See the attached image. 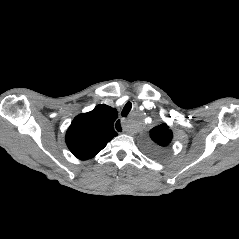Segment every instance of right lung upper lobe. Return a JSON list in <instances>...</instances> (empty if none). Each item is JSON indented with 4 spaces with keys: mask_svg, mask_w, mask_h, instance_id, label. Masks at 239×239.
<instances>
[{
    "mask_svg": "<svg viewBox=\"0 0 239 239\" xmlns=\"http://www.w3.org/2000/svg\"><path fill=\"white\" fill-rule=\"evenodd\" d=\"M117 116V110L105 104L76 116L65 138L70 151L81 160L94 157L118 135L113 127Z\"/></svg>",
    "mask_w": 239,
    "mask_h": 239,
    "instance_id": "obj_1",
    "label": "right lung upper lobe"
}]
</instances>
